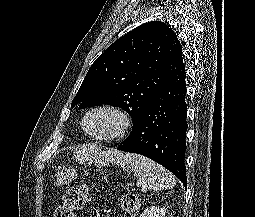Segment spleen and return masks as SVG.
<instances>
[{
    "instance_id": "obj_1",
    "label": "spleen",
    "mask_w": 255,
    "mask_h": 217,
    "mask_svg": "<svg viewBox=\"0 0 255 217\" xmlns=\"http://www.w3.org/2000/svg\"><path fill=\"white\" fill-rule=\"evenodd\" d=\"M117 162L124 167L125 164L131 166L132 171L148 188L153 190L170 189L175 185L174 176L163 166L138 154H119Z\"/></svg>"
}]
</instances>
